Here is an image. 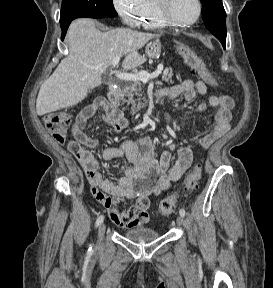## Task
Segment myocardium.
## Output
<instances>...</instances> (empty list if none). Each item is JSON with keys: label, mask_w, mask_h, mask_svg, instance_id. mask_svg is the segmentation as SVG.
I'll return each instance as SVG.
<instances>
[{"label": "myocardium", "mask_w": 273, "mask_h": 288, "mask_svg": "<svg viewBox=\"0 0 273 288\" xmlns=\"http://www.w3.org/2000/svg\"><path fill=\"white\" fill-rule=\"evenodd\" d=\"M155 2V7L158 13V16L160 17V19L167 25H170L172 27H177V28H185V27H189L192 26L193 24H195L199 18L201 17L202 14V2L201 0H196V4H197V14L196 16L187 22H178L176 20H174L170 13H169V3L170 0H154Z\"/></svg>", "instance_id": "obj_1"}]
</instances>
